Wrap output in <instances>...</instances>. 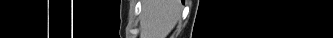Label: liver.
I'll return each mask as SVG.
<instances>
[{"label": "liver", "mask_w": 333, "mask_h": 38, "mask_svg": "<svg viewBox=\"0 0 333 38\" xmlns=\"http://www.w3.org/2000/svg\"><path fill=\"white\" fill-rule=\"evenodd\" d=\"M181 13L179 0H146L143 4L141 38H166Z\"/></svg>", "instance_id": "liver-1"}]
</instances>
